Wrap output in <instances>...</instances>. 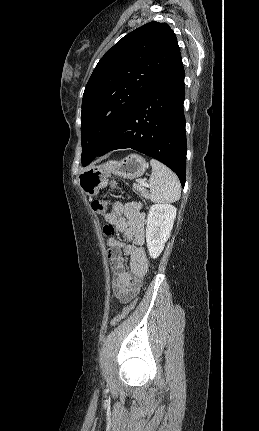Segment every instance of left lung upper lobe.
Segmentation results:
<instances>
[{
  "label": "left lung upper lobe",
  "instance_id": "5c2ea615",
  "mask_svg": "<svg viewBox=\"0 0 259 431\" xmlns=\"http://www.w3.org/2000/svg\"><path fill=\"white\" fill-rule=\"evenodd\" d=\"M173 30L150 22L124 36L95 67L83 94V166L98 154L130 110L151 90L179 55Z\"/></svg>",
  "mask_w": 259,
  "mask_h": 431
}]
</instances>
